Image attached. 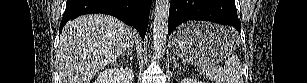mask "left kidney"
<instances>
[{
  "label": "left kidney",
  "instance_id": "1",
  "mask_svg": "<svg viewBox=\"0 0 307 83\" xmlns=\"http://www.w3.org/2000/svg\"><path fill=\"white\" fill-rule=\"evenodd\" d=\"M181 83H203L202 81L196 80L194 78H184Z\"/></svg>",
  "mask_w": 307,
  "mask_h": 83
}]
</instances>
